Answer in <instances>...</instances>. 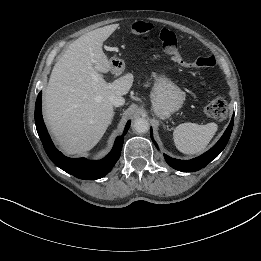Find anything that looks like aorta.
Wrapping results in <instances>:
<instances>
[{"label": "aorta", "mask_w": 261, "mask_h": 261, "mask_svg": "<svg viewBox=\"0 0 261 261\" xmlns=\"http://www.w3.org/2000/svg\"><path fill=\"white\" fill-rule=\"evenodd\" d=\"M133 128L137 133H146L149 130V122L145 118H137L133 123Z\"/></svg>", "instance_id": "obj_1"}]
</instances>
